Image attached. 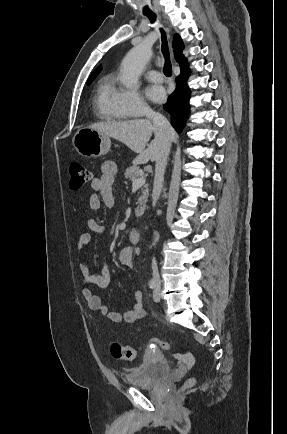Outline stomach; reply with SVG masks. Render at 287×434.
I'll return each mask as SVG.
<instances>
[{
  "instance_id": "stomach-1",
  "label": "stomach",
  "mask_w": 287,
  "mask_h": 434,
  "mask_svg": "<svg viewBox=\"0 0 287 434\" xmlns=\"http://www.w3.org/2000/svg\"><path fill=\"white\" fill-rule=\"evenodd\" d=\"M76 151L85 157L95 158L108 153L110 137L90 127L79 129L73 137Z\"/></svg>"
}]
</instances>
